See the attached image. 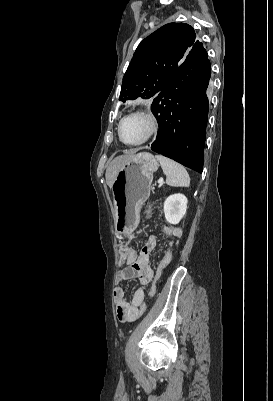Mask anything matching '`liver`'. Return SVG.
Masks as SVG:
<instances>
[{"instance_id": "obj_1", "label": "liver", "mask_w": 273, "mask_h": 401, "mask_svg": "<svg viewBox=\"0 0 273 401\" xmlns=\"http://www.w3.org/2000/svg\"><path fill=\"white\" fill-rule=\"evenodd\" d=\"M135 152H137V148H132L131 152H126V154L115 156V158L109 162L106 168L105 178L110 188H112L113 182L117 176V172L120 170V168H122L123 164L129 162V160H136V158H138L140 152H138V154H135Z\"/></svg>"}]
</instances>
